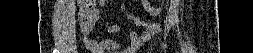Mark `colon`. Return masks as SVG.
I'll return each mask as SVG.
<instances>
[{
    "instance_id": "colon-1",
    "label": "colon",
    "mask_w": 253,
    "mask_h": 53,
    "mask_svg": "<svg viewBox=\"0 0 253 53\" xmlns=\"http://www.w3.org/2000/svg\"><path fill=\"white\" fill-rule=\"evenodd\" d=\"M82 6L79 10L78 21L81 26L86 25L91 19L92 8L88 4L93 3V1H80Z\"/></svg>"
}]
</instances>
